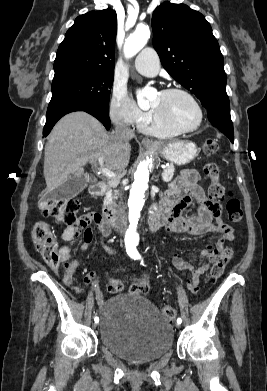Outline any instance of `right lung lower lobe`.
I'll use <instances>...</instances> for the list:
<instances>
[{
	"label": "right lung lower lobe",
	"mask_w": 267,
	"mask_h": 391,
	"mask_svg": "<svg viewBox=\"0 0 267 391\" xmlns=\"http://www.w3.org/2000/svg\"><path fill=\"white\" fill-rule=\"evenodd\" d=\"M74 111H85L94 117H96L105 128L108 130L110 128V118L109 111H106L97 106L87 105L77 102H69L47 110L46 114V124L44 126L43 135L47 136L55 123L65 114L74 112Z\"/></svg>",
	"instance_id": "right-lung-lower-lobe-1"
}]
</instances>
